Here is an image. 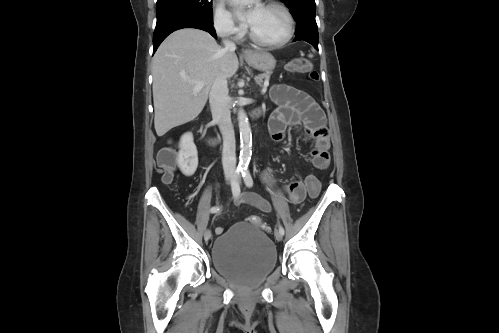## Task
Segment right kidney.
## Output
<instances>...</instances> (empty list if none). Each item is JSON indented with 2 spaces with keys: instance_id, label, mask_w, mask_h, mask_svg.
Returning <instances> with one entry per match:
<instances>
[{
  "instance_id": "1",
  "label": "right kidney",
  "mask_w": 499,
  "mask_h": 333,
  "mask_svg": "<svg viewBox=\"0 0 499 333\" xmlns=\"http://www.w3.org/2000/svg\"><path fill=\"white\" fill-rule=\"evenodd\" d=\"M177 164L185 176H192L198 166V152L193 142L192 133H185L180 139Z\"/></svg>"
}]
</instances>
